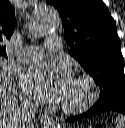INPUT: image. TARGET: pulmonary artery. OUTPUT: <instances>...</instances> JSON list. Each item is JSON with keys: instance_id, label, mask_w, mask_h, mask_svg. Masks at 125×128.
<instances>
[{"instance_id": "pulmonary-artery-1", "label": "pulmonary artery", "mask_w": 125, "mask_h": 128, "mask_svg": "<svg viewBox=\"0 0 125 128\" xmlns=\"http://www.w3.org/2000/svg\"><path fill=\"white\" fill-rule=\"evenodd\" d=\"M46 50L51 53H58L61 50L60 37L53 35L49 36L45 42ZM44 49L38 46L25 47L18 53V59L21 62L37 61L43 57Z\"/></svg>"}]
</instances>
